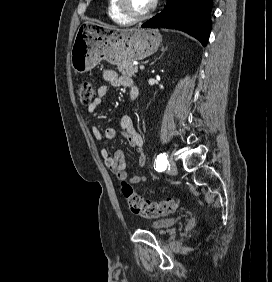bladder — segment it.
<instances>
[{
    "label": "bladder",
    "instance_id": "obj_1",
    "mask_svg": "<svg viewBox=\"0 0 272 282\" xmlns=\"http://www.w3.org/2000/svg\"><path fill=\"white\" fill-rule=\"evenodd\" d=\"M178 221L179 217L164 218L151 223L150 228L153 230H162L177 224Z\"/></svg>",
    "mask_w": 272,
    "mask_h": 282
}]
</instances>
